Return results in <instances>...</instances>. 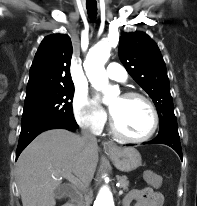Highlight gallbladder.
Listing matches in <instances>:
<instances>
[{"label": "gallbladder", "instance_id": "bac80fb5", "mask_svg": "<svg viewBox=\"0 0 197 206\" xmlns=\"http://www.w3.org/2000/svg\"><path fill=\"white\" fill-rule=\"evenodd\" d=\"M55 196L58 199H61L64 197L63 189L61 187H59L55 190Z\"/></svg>", "mask_w": 197, "mask_h": 206}]
</instances>
